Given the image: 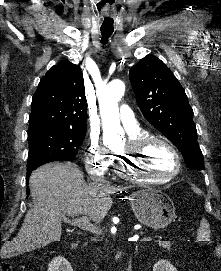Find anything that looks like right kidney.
Masks as SVG:
<instances>
[{
	"label": "right kidney",
	"instance_id": "ca27d5eb",
	"mask_svg": "<svg viewBox=\"0 0 221 271\" xmlns=\"http://www.w3.org/2000/svg\"><path fill=\"white\" fill-rule=\"evenodd\" d=\"M47 271H73V269L68 259L62 257V255H57V257H53L52 261L48 263Z\"/></svg>",
	"mask_w": 221,
	"mask_h": 271
}]
</instances>
